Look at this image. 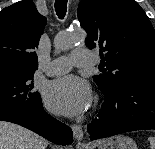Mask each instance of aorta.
I'll return each instance as SVG.
<instances>
[{
  "label": "aorta",
  "mask_w": 155,
  "mask_h": 149,
  "mask_svg": "<svg viewBox=\"0 0 155 149\" xmlns=\"http://www.w3.org/2000/svg\"><path fill=\"white\" fill-rule=\"evenodd\" d=\"M86 34L82 30L72 33H59L55 39V47L57 50H65L75 46L77 43H83Z\"/></svg>",
  "instance_id": "1"
}]
</instances>
